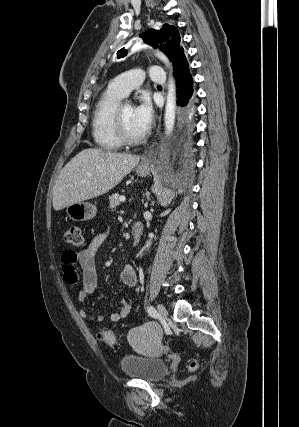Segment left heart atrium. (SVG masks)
<instances>
[{"mask_svg": "<svg viewBox=\"0 0 299 427\" xmlns=\"http://www.w3.org/2000/svg\"><path fill=\"white\" fill-rule=\"evenodd\" d=\"M134 118L143 132L147 131L153 121V110L150 102L144 98L134 107Z\"/></svg>", "mask_w": 299, "mask_h": 427, "instance_id": "left-heart-atrium-1", "label": "left heart atrium"}]
</instances>
